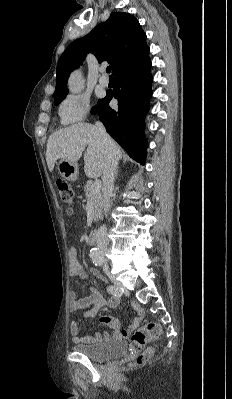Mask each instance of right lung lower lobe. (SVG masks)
I'll list each match as a JSON object with an SVG mask.
<instances>
[{
    "instance_id": "obj_1",
    "label": "right lung lower lobe",
    "mask_w": 232,
    "mask_h": 399,
    "mask_svg": "<svg viewBox=\"0 0 232 399\" xmlns=\"http://www.w3.org/2000/svg\"><path fill=\"white\" fill-rule=\"evenodd\" d=\"M148 54L129 62L114 73L116 87L92 113H97L106 131L125 149L131 158L144 164L147 141L144 136V120L152 95ZM112 98L118 100V110L108 105Z\"/></svg>"
}]
</instances>
